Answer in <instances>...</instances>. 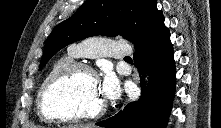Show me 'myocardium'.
Here are the masks:
<instances>
[{"mask_svg":"<svg viewBox=\"0 0 221 128\" xmlns=\"http://www.w3.org/2000/svg\"><path fill=\"white\" fill-rule=\"evenodd\" d=\"M80 72L87 73L98 80L97 72L90 65L82 62H72L43 83L37 96V110L42 119L48 121L72 122L92 120L104 114L106 110L105 101L95 110H88L77 114L58 113L47 107V99L51 90Z\"/></svg>","mask_w":221,"mask_h":128,"instance_id":"myocardium-1","label":"myocardium"}]
</instances>
